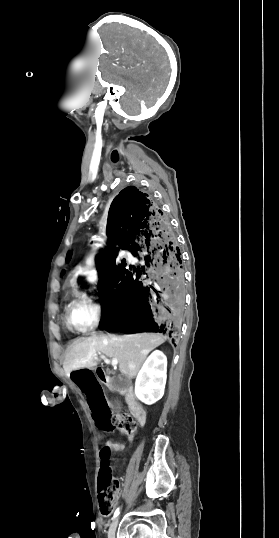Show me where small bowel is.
Wrapping results in <instances>:
<instances>
[{
    "mask_svg": "<svg viewBox=\"0 0 279 538\" xmlns=\"http://www.w3.org/2000/svg\"><path fill=\"white\" fill-rule=\"evenodd\" d=\"M108 445L110 446L111 450L113 452H121L125 449V445L123 443H120V442H113V441H110L108 442Z\"/></svg>",
    "mask_w": 279,
    "mask_h": 538,
    "instance_id": "obj_1",
    "label": "small bowel"
}]
</instances>
